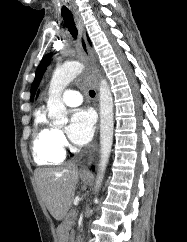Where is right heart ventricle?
Instances as JSON below:
<instances>
[{
	"label": "right heart ventricle",
	"mask_w": 187,
	"mask_h": 242,
	"mask_svg": "<svg viewBox=\"0 0 187 242\" xmlns=\"http://www.w3.org/2000/svg\"><path fill=\"white\" fill-rule=\"evenodd\" d=\"M56 129L49 122L45 111L35 112L33 124L32 152L39 165H57L63 162L65 153L56 141Z\"/></svg>",
	"instance_id": "e07e8e85"
}]
</instances>
